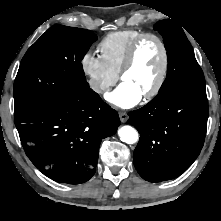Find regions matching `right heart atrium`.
Here are the masks:
<instances>
[{
    "instance_id": "obj_1",
    "label": "right heart atrium",
    "mask_w": 221,
    "mask_h": 221,
    "mask_svg": "<svg viewBox=\"0 0 221 221\" xmlns=\"http://www.w3.org/2000/svg\"><path fill=\"white\" fill-rule=\"evenodd\" d=\"M80 65L89 87L98 95L106 93L117 82L118 75L107 66L101 56L92 51L82 56Z\"/></svg>"
}]
</instances>
